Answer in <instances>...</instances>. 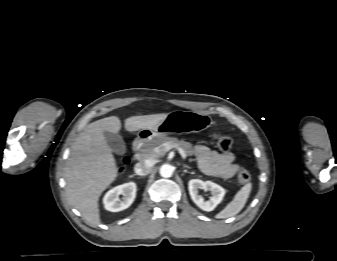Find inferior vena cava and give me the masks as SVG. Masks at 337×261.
<instances>
[{
  "instance_id": "1",
  "label": "inferior vena cava",
  "mask_w": 337,
  "mask_h": 261,
  "mask_svg": "<svg viewBox=\"0 0 337 261\" xmlns=\"http://www.w3.org/2000/svg\"><path fill=\"white\" fill-rule=\"evenodd\" d=\"M153 166V161L146 160L142 162H138L135 167V173L140 176H145L150 173L151 167Z\"/></svg>"
}]
</instances>
